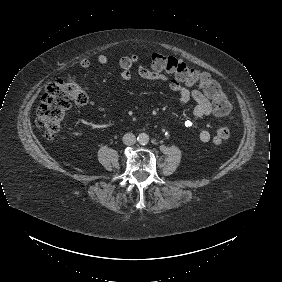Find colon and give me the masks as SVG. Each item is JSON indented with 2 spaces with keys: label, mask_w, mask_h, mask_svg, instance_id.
<instances>
[{
  "label": "colon",
  "mask_w": 282,
  "mask_h": 282,
  "mask_svg": "<svg viewBox=\"0 0 282 282\" xmlns=\"http://www.w3.org/2000/svg\"><path fill=\"white\" fill-rule=\"evenodd\" d=\"M150 67L163 75L166 73L179 75L187 86L198 85L211 97L217 113L227 118L233 116L232 102L209 74L199 73L186 63L160 53L152 54ZM86 102L87 96L75 76L68 75L63 79L53 80L45 88L37 111L36 125L42 130L45 138L52 139L62 129L66 111L72 106H84ZM229 137V127L220 124L214 132L213 143L221 146Z\"/></svg>",
  "instance_id": "1"
}]
</instances>
